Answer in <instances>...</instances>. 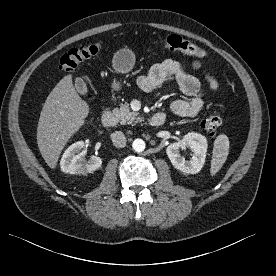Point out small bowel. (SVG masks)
<instances>
[{
  "instance_id": "small-bowel-1",
  "label": "small bowel",
  "mask_w": 276,
  "mask_h": 276,
  "mask_svg": "<svg viewBox=\"0 0 276 276\" xmlns=\"http://www.w3.org/2000/svg\"><path fill=\"white\" fill-rule=\"evenodd\" d=\"M192 67L203 74L210 91L218 90V81L209 75L198 61H194ZM170 77L176 80L181 91L189 97L187 100L172 101L170 111L176 116H195L204 106V89L199 79L189 73L180 62L166 59L153 65L146 74L139 77L138 86L144 92H152Z\"/></svg>"
}]
</instances>
